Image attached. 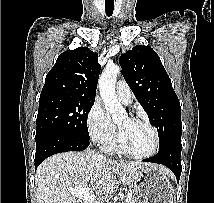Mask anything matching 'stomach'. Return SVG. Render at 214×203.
I'll return each instance as SVG.
<instances>
[{"label": "stomach", "mask_w": 214, "mask_h": 203, "mask_svg": "<svg viewBox=\"0 0 214 203\" xmlns=\"http://www.w3.org/2000/svg\"><path fill=\"white\" fill-rule=\"evenodd\" d=\"M137 203H173L174 190L164 170L145 165L135 173L133 182Z\"/></svg>", "instance_id": "obj_1"}]
</instances>
